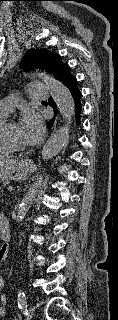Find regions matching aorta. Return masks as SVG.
Listing matches in <instances>:
<instances>
[{"instance_id":"aorta-1","label":"aorta","mask_w":118,"mask_h":320,"mask_svg":"<svg viewBox=\"0 0 118 320\" xmlns=\"http://www.w3.org/2000/svg\"><path fill=\"white\" fill-rule=\"evenodd\" d=\"M29 75L41 79L47 85L55 103L63 115V119L65 120V125L61 126L54 134H52L42 148V159L47 161L56 156L68 141L70 133L69 124L71 123L72 116L75 111V104L70 91L49 73L37 69L36 71L31 72ZM33 196L34 192L30 189L29 192L23 197L22 201L18 204V218L23 219L25 217Z\"/></svg>"}]
</instances>
